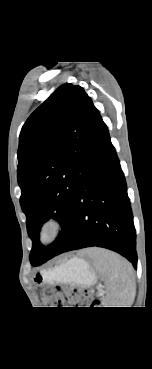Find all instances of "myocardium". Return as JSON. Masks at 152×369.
I'll list each match as a JSON object with an SVG mask.
<instances>
[{
	"label": "myocardium",
	"mask_w": 152,
	"mask_h": 369,
	"mask_svg": "<svg viewBox=\"0 0 152 369\" xmlns=\"http://www.w3.org/2000/svg\"><path fill=\"white\" fill-rule=\"evenodd\" d=\"M61 230L62 224L60 220L57 218H49L42 224L39 230L38 240L42 245L48 246L57 239Z\"/></svg>",
	"instance_id": "1"
}]
</instances>
